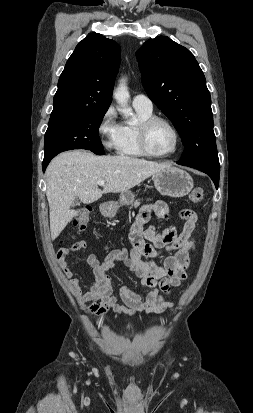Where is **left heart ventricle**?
Returning a JSON list of instances; mask_svg holds the SVG:
<instances>
[{
  "instance_id": "b2bd125f",
  "label": "left heart ventricle",
  "mask_w": 253,
  "mask_h": 413,
  "mask_svg": "<svg viewBox=\"0 0 253 413\" xmlns=\"http://www.w3.org/2000/svg\"><path fill=\"white\" fill-rule=\"evenodd\" d=\"M148 141L151 150L158 154L167 153L174 146V134L164 123H156L149 130Z\"/></svg>"
}]
</instances>
